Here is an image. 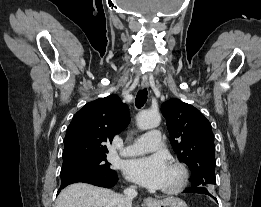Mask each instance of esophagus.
Masks as SVG:
<instances>
[{"mask_svg": "<svg viewBox=\"0 0 261 207\" xmlns=\"http://www.w3.org/2000/svg\"><path fill=\"white\" fill-rule=\"evenodd\" d=\"M149 86V80L147 78H144L141 82V87L142 88H147ZM144 203L147 205V206H150L152 204L155 203V199L151 198V197H147L144 199Z\"/></svg>", "mask_w": 261, "mask_h": 207, "instance_id": "esophagus-1", "label": "esophagus"}]
</instances>
